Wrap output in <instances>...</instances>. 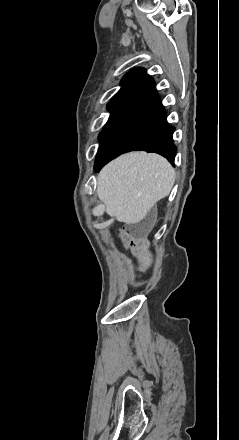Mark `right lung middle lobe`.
I'll return each instance as SVG.
<instances>
[{
    "label": "right lung middle lobe",
    "mask_w": 239,
    "mask_h": 440,
    "mask_svg": "<svg viewBox=\"0 0 239 440\" xmlns=\"http://www.w3.org/2000/svg\"><path fill=\"white\" fill-rule=\"evenodd\" d=\"M129 101H120V102H112L108 103L107 108L111 112L110 118L105 125L104 129L99 135V140L102 143L104 138L109 134V132L112 130L126 107L129 105Z\"/></svg>",
    "instance_id": "1"
}]
</instances>
